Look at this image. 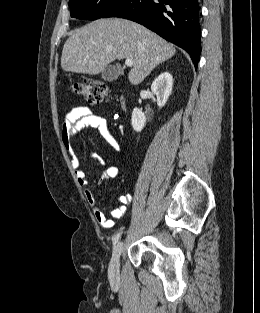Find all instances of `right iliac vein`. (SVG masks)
<instances>
[{
    "label": "right iliac vein",
    "instance_id": "obj_1",
    "mask_svg": "<svg viewBox=\"0 0 260 313\" xmlns=\"http://www.w3.org/2000/svg\"><path fill=\"white\" fill-rule=\"evenodd\" d=\"M123 243L118 242L113 249L112 258L109 265V277L116 279L119 276V258L121 255Z\"/></svg>",
    "mask_w": 260,
    "mask_h": 313
}]
</instances>
